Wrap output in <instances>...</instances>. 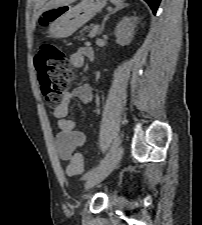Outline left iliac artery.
Wrapping results in <instances>:
<instances>
[{
  "label": "left iliac artery",
  "instance_id": "1",
  "mask_svg": "<svg viewBox=\"0 0 202 225\" xmlns=\"http://www.w3.org/2000/svg\"><path fill=\"white\" fill-rule=\"evenodd\" d=\"M118 145H119V140H115L112 147L110 148L109 152L104 157V159L99 163L98 166L93 168L90 172L86 173L83 176V179L90 180V179L94 178L95 176H97L99 174V172L103 169V167L107 164V162L110 160L111 155L114 153V151L116 150Z\"/></svg>",
  "mask_w": 202,
  "mask_h": 225
}]
</instances>
